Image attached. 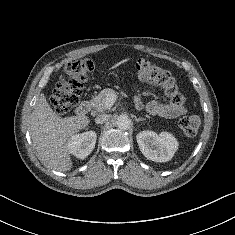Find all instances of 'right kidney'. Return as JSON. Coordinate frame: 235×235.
Masks as SVG:
<instances>
[{"label": "right kidney", "instance_id": "1", "mask_svg": "<svg viewBox=\"0 0 235 235\" xmlns=\"http://www.w3.org/2000/svg\"><path fill=\"white\" fill-rule=\"evenodd\" d=\"M97 135L94 131H87L82 134H76L68 142V149L75 157L84 159L94 149Z\"/></svg>", "mask_w": 235, "mask_h": 235}]
</instances>
